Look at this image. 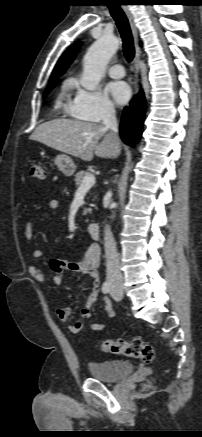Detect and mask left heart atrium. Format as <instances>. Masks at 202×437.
Masks as SVG:
<instances>
[{"mask_svg":"<svg viewBox=\"0 0 202 437\" xmlns=\"http://www.w3.org/2000/svg\"><path fill=\"white\" fill-rule=\"evenodd\" d=\"M107 91L120 105L127 103L131 97V89L129 85L124 81L111 82L107 86Z\"/></svg>","mask_w":202,"mask_h":437,"instance_id":"left-heart-atrium-1","label":"left heart atrium"}]
</instances>
